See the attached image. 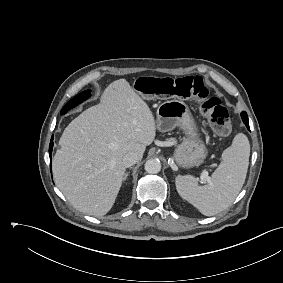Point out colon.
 Masks as SVG:
<instances>
[{
  "instance_id": "1",
  "label": "colon",
  "mask_w": 283,
  "mask_h": 283,
  "mask_svg": "<svg viewBox=\"0 0 283 283\" xmlns=\"http://www.w3.org/2000/svg\"><path fill=\"white\" fill-rule=\"evenodd\" d=\"M135 89L147 99L191 98L200 104V110L208 118L212 130L219 136L231 132V122L227 109L218 97L212 96L205 81L198 76L179 79L141 77Z\"/></svg>"
}]
</instances>
